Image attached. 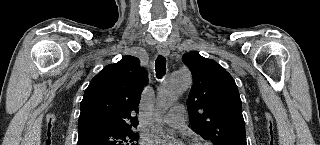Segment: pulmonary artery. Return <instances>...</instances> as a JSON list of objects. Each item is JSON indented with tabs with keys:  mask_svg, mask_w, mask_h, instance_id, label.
I'll use <instances>...</instances> for the list:
<instances>
[{
	"mask_svg": "<svg viewBox=\"0 0 320 145\" xmlns=\"http://www.w3.org/2000/svg\"><path fill=\"white\" fill-rule=\"evenodd\" d=\"M164 125L170 127H181L185 123V108L182 105L174 106L167 114L161 118Z\"/></svg>",
	"mask_w": 320,
	"mask_h": 145,
	"instance_id": "obj_1",
	"label": "pulmonary artery"
}]
</instances>
